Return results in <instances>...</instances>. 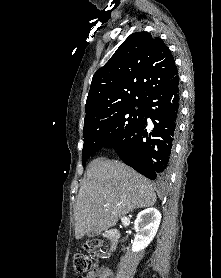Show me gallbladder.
Instances as JSON below:
<instances>
[{"label":"gallbladder","instance_id":"obj_1","mask_svg":"<svg viewBox=\"0 0 221 278\" xmlns=\"http://www.w3.org/2000/svg\"><path fill=\"white\" fill-rule=\"evenodd\" d=\"M96 235L95 231H90L89 233H87V236L90 237H94Z\"/></svg>","mask_w":221,"mask_h":278}]
</instances>
